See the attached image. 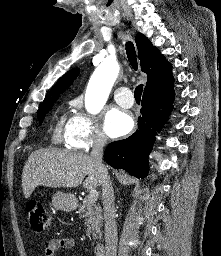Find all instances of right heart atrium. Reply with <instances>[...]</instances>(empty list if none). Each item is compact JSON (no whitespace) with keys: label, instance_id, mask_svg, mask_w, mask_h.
<instances>
[{"label":"right heart atrium","instance_id":"obj_1","mask_svg":"<svg viewBox=\"0 0 221 256\" xmlns=\"http://www.w3.org/2000/svg\"><path fill=\"white\" fill-rule=\"evenodd\" d=\"M66 139L70 147L82 151L102 147L106 143V138L95 119L80 110L67 123Z\"/></svg>","mask_w":221,"mask_h":256}]
</instances>
